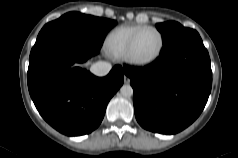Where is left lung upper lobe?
<instances>
[{
  "label": "left lung upper lobe",
  "instance_id": "left-lung-upper-lobe-1",
  "mask_svg": "<svg viewBox=\"0 0 238 158\" xmlns=\"http://www.w3.org/2000/svg\"><path fill=\"white\" fill-rule=\"evenodd\" d=\"M156 27L162 34L164 45L163 49H166L182 40L191 38L198 34L195 30L185 28L181 24L174 21L159 23L156 24Z\"/></svg>",
  "mask_w": 238,
  "mask_h": 158
}]
</instances>
